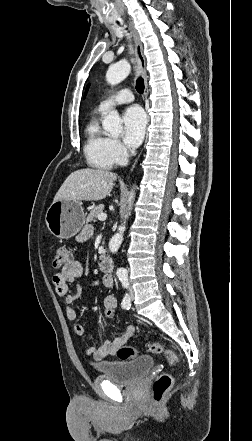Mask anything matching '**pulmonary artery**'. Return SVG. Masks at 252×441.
<instances>
[{"label": "pulmonary artery", "instance_id": "1", "mask_svg": "<svg viewBox=\"0 0 252 441\" xmlns=\"http://www.w3.org/2000/svg\"><path fill=\"white\" fill-rule=\"evenodd\" d=\"M133 100H134V96L132 92L128 89H124L120 91L116 96L103 100L99 104L98 110L100 112H105L116 105L129 103L132 102Z\"/></svg>", "mask_w": 252, "mask_h": 441}]
</instances>
